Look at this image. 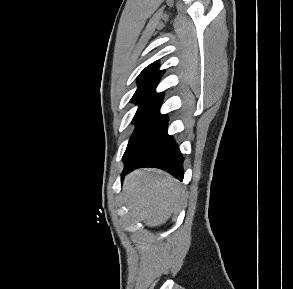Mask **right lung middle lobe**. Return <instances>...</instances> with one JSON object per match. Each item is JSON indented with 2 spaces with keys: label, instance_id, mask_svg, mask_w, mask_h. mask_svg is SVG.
<instances>
[{
  "label": "right lung middle lobe",
  "instance_id": "1",
  "mask_svg": "<svg viewBox=\"0 0 293 289\" xmlns=\"http://www.w3.org/2000/svg\"><path fill=\"white\" fill-rule=\"evenodd\" d=\"M138 103L140 107L133 118V122H137V126L129 140L127 148L136 145L151 130L167 119V115H161L159 113L161 102L138 101Z\"/></svg>",
  "mask_w": 293,
  "mask_h": 289
}]
</instances>
